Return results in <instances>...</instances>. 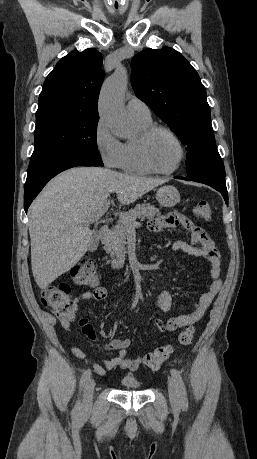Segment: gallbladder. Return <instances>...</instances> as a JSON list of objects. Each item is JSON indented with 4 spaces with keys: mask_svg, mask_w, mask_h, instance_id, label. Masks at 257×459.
I'll list each match as a JSON object with an SVG mask.
<instances>
[{
    "mask_svg": "<svg viewBox=\"0 0 257 459\" xmlns=\"http://www.w3.org/2000/svg\"><path fill=\"white\" fill-rule=\"evenodd\" d=\"M99 243V237L98 234H94L93 239L89 245V251L93 252L97 249Z\"/></svg>",
    "mask_w": 257,
    "mask_h": 459,
    "instance_id": "obj_1",
    "label": "gallbladder"
}]
</instances>
